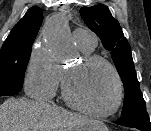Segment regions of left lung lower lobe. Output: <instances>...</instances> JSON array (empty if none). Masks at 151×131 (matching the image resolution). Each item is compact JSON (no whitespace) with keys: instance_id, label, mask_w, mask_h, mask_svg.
Instances as JSON below:
<instances>
[{"instance_id":"0a47b994","label":"left lung lower lobe","mask_w":151,"mask_h":131,"mask_svg":"<svg viewBox=\"0 0 151 131\" xmlns=\"http://www.w3.org/2000/svg\"><path fill=\"white\" fill-rule=\"evenodd\" d=\"M115 123L126 127L137 128L141 131H151V123L146 110L123 115Z\"/></svg>"}]
</instances>
